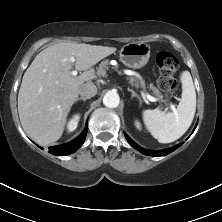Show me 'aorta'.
<instances>
[{
  "instance_id": "aorta-1",
  "label": "aorta",
  "mask_w": 222,
  "mask_h": 222,
  "mask_svg": "<svg viewBox=\"0 0 222 222\" xmlns=\"http://www.w3.org/2000/svg\"><path fill=\"white\" fill-rule=\"evenodd\" d=\"M119 102V95L115 91H108L103 98V104L108 108H116Z\"/></svg>"
}]
</instances>
